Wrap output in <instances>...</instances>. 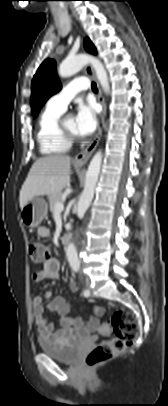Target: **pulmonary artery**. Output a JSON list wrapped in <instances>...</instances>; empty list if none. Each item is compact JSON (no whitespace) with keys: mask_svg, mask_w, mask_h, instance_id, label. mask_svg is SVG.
<instances>
[{"mask_svg":"<svg viewBox=\"0 0 168 406\" xmlns=\"http://www.w3.org/2000/svg\"><path fill=\"white\" fill-rule=\"evenodd\" d=\"M89 88L88 79L85 77H79L68 83L60 92L53 95L47 105L59 110L65 111L69 102L75 97V95L81 90Z\"/></svg>","mask_w":168,"mask_h":406,"instance_id":"e3ab8cb5","label":"pulmonary artery"}]
</instances>
